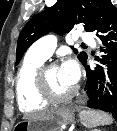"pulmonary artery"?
<instances>
[{
  "instance_id": "1",
  "label": "pulmonary artery",
  "mask_w": 117,
  "mask_h": 131,
  "mask_svg": "<svg viewBox=\"0 0 117 131\" xmlns=\"http://www.w3.org/2000/svg\"><path fill=\"white\" fill-rule=\"evenodd\" d=\"M81 41L94 44L93 36L88 32H79ZM56 47V38L52 35L45 36L35 42L27 52L28 58L46 60L48 59Z\"/></svg>"
}]
</instances>
